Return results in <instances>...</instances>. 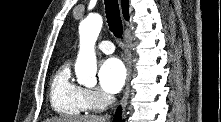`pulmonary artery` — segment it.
Returning <instances> with one entry per match:
<instances>
[{
  "mask_svg": "<svg viewBox=\"0 0 221 122\" xmlns=\"http://www.w3.org/2000/svg\"><path fill=\"white\" fill-rule=\"evenodd\" d=\"M98 49L105 54H111L115 50L113 43L108 40L101 41L98 44Z\"/></svg>",
  "mask_w": 221,
  "mask_h": 122,
  "instance_id": "pulmonary-artery-1",
  "label": "pulmonary artery"
}]
</instances>
